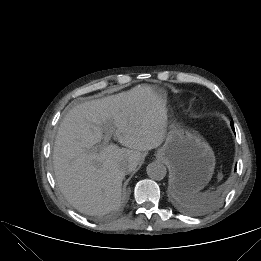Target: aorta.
Listing matches in <instances>:
<instances>
[{
	"label": "aorta",
	"mask_w": 261,
	"mask_h": 261,
	"mask_svg": "<svg viewBox=\"0 0 261 261\" xmlns=\"http://www.w3.org/2000/svg\"><path fill=\"white\" fill-rule=\"evenodd\" d=\"M147 175L153 180H162L167 173L166 167L160 162H152L148 164Z\"/></svg>",
	"instance_id": "obj_1"
}]
</instances>
